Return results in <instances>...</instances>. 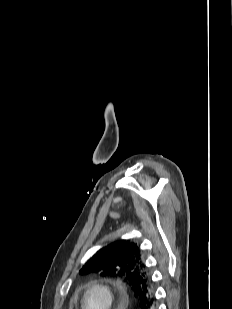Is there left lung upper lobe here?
<instances>
[{"label":"left lung upper lobe","mask_w":232,"mask_h":309,"mask_svg":"<svg viewBox=\"0 0 232 309\" xmlns=\"http://www.w3.org/2000/svg\"><path fill=\"white\" fill-rule=\"evenodd\" d=\"M98 274L125 282L138 303L153 295L139 246L129 240H117L100 250L80 270V274Z\"/></svg>","instance_id":"left-lung-upper-lobe-1"}]
</instances>
